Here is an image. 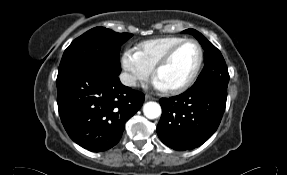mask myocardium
<instances>
[{
	"label": "myocardium",
	"mask_w": 287,
	"mask_h": 175,
	"mask_svg": "<svg viewBox=\"0 0 287 175\" xmlns=\"http://www.w3.org/2000/svg\"><path fill=\"white\" fill-rule=\"evenodd\" d=\"M188 43H194L199 50V59H198V63L196 65L195 70L193 71L192 75L189 77V79L184 82L182 85L174 87V88H165V90L172 95H177V94H181L183 92H185L186 90H188L197 80L200 71L202 69L203 66V62H204V50L202 45L200 44V42L196 39H184L183 41H181L180 43L174 45L156 64V66L154 67V77L156 79H158V74L160 72V70L165 67L166 65L169 64V62L173 59L174 55L177 53V51L183 47L185 44Z\"/></svg>",
	"instance_id": "obj_1"
}]
</instances>
